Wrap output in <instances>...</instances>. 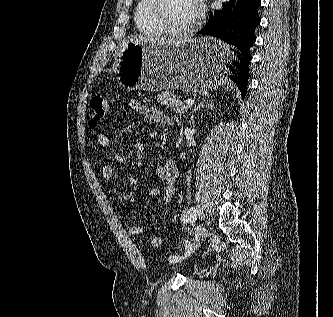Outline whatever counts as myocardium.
<instances>
[{
    "label": "myocardium",
    "instance_id": "f54148a6",
    "mask_svg": "<svg viewBox=\"0 0 333 317\" xmlns=\"http://www.w3.org/2000/svg\"><path fill=\"white\" fill-rule=\"evenodd\" d=\"M198 3V15L195 19V21L189 25L188 27L185 28H178L173 25H171L164 17L163 13V5H164V0H150V14L151 17L153 18L154 22L165 32L168 34L172 35H177V36H185L189 35L197 30L201 23L202 19V5L200 3V0H197Z\"/></svg>",
    "mask_w": 333,
    "mask_h": 317
}]
</instances>
